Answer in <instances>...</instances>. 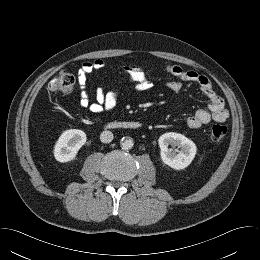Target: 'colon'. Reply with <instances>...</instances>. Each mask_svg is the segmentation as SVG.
Masks as SVG:
<instances>
[{
  "instance_id": "5ec220e1",
  "label": "colon",
  "mask_w": 260,
  "mask_h": 260,
  "mask_svg": "<svg viewBox=\"0 0 260 260\" xmlns=\"http://www.w3.org/2000/svg\"><path fill=\"white\" fill-rule=\"evenodd\" d=\"M75 77L66 70L58 74L49 82L48 90L52 93L71 94L74 90ZM227 134V127L223 124H214L210 128V137L213 141L222 140Z\"/></svg>"
}]
</instances>
